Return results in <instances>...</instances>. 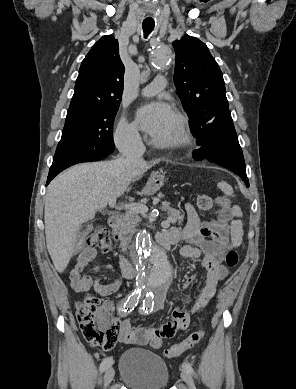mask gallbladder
<instances>
[{
    "label": "gallbladder",
    "instance_id": "bac80fb5",
    "mask_svg": "<svg viewBox=\"0 0 296 389\" xmlns=\"http://www.w3.org/2000/svg\"><path fill=\"white\" fill-rule=\"evenodd\" d=\"M89 230H90V227H88L84 232H82L79 236H77L76 245H77L78 243H81V241H82L84 235H85L86 233H88ZM79 246H80V244H79ZM76 250H77V251L79 250V247H78V246H76Z\"/></svg>",
    "mask_w": 296,
    "mask_h": 389
}]
</instances>
